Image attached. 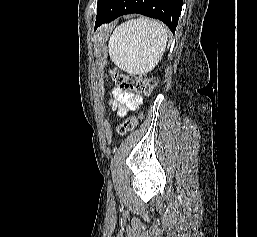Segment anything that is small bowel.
Listing matches in <instances>:
<instances>
[{
    "label": "small bowel",
    "instance_id": "small-bowel-1",
    "mask_svg": "<svg viewBox=\"0 0 257 237\" xmlns=\"http://www.w3.org/2000/svg\"><path fill=\"white\" fill-rule=\"evenodd\" d=\"M111 105L118 108V114L124 116L128 110L136 109L142 102V97L137 94L123 92L118 88L113 89Z\"/></svg>",
    "mask_w": 257,
    "mask_h": 237
}]
</instances>
